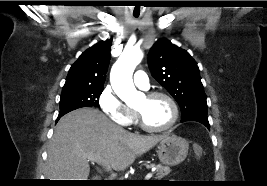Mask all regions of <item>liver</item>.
Listing matches in <instances>:
<instances>
[{"instance_id": "liver-1", "label": "liver", "mask_w": 267, "mask_h": 186, "mask_svg": "<svg viewBox=\"0 0 267 186\" xmlns=\"http://www.w3.org/2000/svg\"><path fill=\"white\" fill-rule=\"evenodd\" d=\"M167 135L130 133L94 108H80L63 116L49 143V180H87L88 157L102 159L106 167L123 171L137 156L149 151Z\"/></svg>"}]
</instances>
